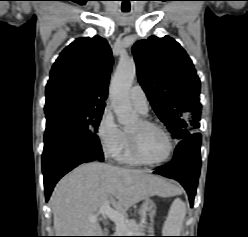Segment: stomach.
<instances>
[{"label": "stomach", "mask_w": 248, "mask_h": 237, "mask_svg": "<svg viewBox=\"0 0 248 237\" xmlns=\"http://www.w3.org/2000/svg\"><path fill=\"white\" fill-rule=\"evenodd\" d=\"M156 213V204L149 198L145 199L140 208V216L143 221L149 219L153 221L154 215ZM149 230H152V226L148 227Z\"/></svg>", "instance_id": "1"}]
</instances>
